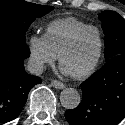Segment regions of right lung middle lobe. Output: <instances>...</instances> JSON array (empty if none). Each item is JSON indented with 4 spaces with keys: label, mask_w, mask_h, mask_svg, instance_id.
<instances>
[{
    "label": "right lung middle lobe",
    "mask_w": 125,
    "mask_h": 125,
    "mask_svg": "<svg viewBox=\"0 0 125 125\" xmlns=\"http://www.w3.org/2000/svg\"><path fill=\"white\" fill-rule=\"evenodd\" d=\"M53 8L24 0H0V35L25 42L30 24Z\"/></svg>",
    "instance_id": "right-lung-middle-lobe-1"
}]
</instances>
